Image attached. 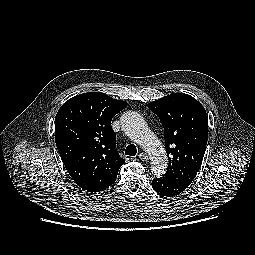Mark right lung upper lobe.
<instances>
[{"label": "right lung upper lobe", "mask_w": 255, "mask_h": 255, "mask_svg": "<svg viewBox=\"0 0 255 255\" xmlns=\"http://www.w3.org/2000/svg\"><path fill=\"white\" fill-rule=\"evenodd\" d=\"M127 106L102 92L76 95L55 117V142L75 183L86 191L112 184L125 161L116 150L112 118Z\"/></svg>", "instance_id": "cb5924a9"}]
</instances>
